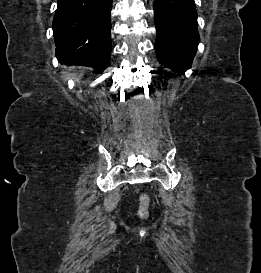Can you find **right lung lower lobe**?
I'll return each instance as SVG.
<instances>
[{
  "label": "right lung lower lobe",
  "mask_w": 261,
  "mask_h": 273,
  "mask_svg": "<svg viewBox=\"0 0 261 273\" xmlns=\"http://www.w3.org/2000/svg\"><path fill=\"white\" fill-rule=\"evenodd\" d=\"M112 0H57L53 19L56 57L104 71L111 53Z\"/></svg>",
  "instance_id": "1"
}]
</instances>
